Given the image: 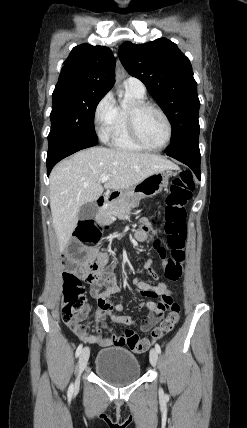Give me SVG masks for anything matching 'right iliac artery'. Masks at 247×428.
<instances>
[{
  "instance_id": "1",
  "label": "right iliac artery",
  "mask_w": 247,
  "mask_h": 428,
  "mask_svg": "<svg viewBox=\"0 0 247 428\" xmlns=\"http://www.w3.org/2000/svg\"><path fill=\"white\" fill-rule=\"evenodd\" d=\"M82 347H83V345L82 344H80L79 346H78V348H77V350H76V353H75V355H76V357H78L79 355H80V353H81V351H82ZM73 384H71L70 386H69V389H68V396L69 397H71L72 396V394H73Z\"/></svg>"
}]
</instances>
